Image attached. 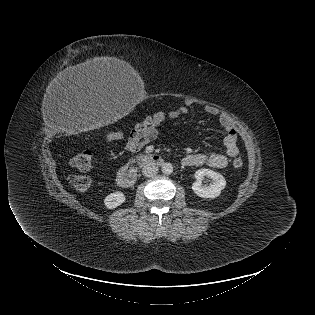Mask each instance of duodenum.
Listing matches in <instances>:
<instances>
[{"mask_svg":"<svg viewBox=\"0 0 315 315\" xmlns=\"http://www.w3.org/2000/svg\"><path fill=\"white\" fill-rule=\"evenodd\" d=\"M141 164H152L160 166L164 163L161 156L157 154H147L140 158ZM137 178L136 170L131 166L121 168L116 177V183L119 187H130L134 184Z\"/></svg>","mask_w":315,"mask_h":315,"instance_id":"duodenum-1","label":"duodenum"}]
</instances>
